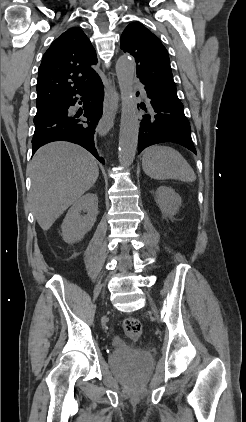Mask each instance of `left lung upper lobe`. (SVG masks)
I'll use <instances>...</instances> for the list:
<instances>
[{"mask_svg": "<svg viewBox=\"0 0 246 422\" xmlns=\"http://www.w3.org/2000/svg\"><path fill=\"white\" fill-rule=\"evenodd\" d=\"M121 49L134 56L137 77L144 84L176 102L177 96L169 56L157 36L139 23L129 24L121 35Z\"/></svg>", "mask_w": 246, "mask_h": 422, "instance_id": "5c2ea615", "label": "left lung upper lobe"}]
</instances>
